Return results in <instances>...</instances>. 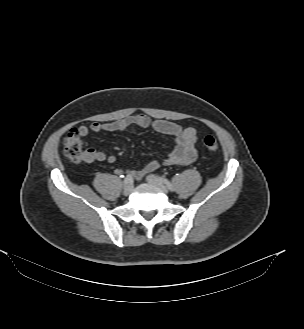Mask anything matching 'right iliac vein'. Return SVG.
<instances>
[{
	"mask_svg": "<svg viewBox=\"0 0 304 329\" xmlns=\"http://www.w3.org/2000/svg\"><path fill=\"white\" fill-rule=\"evenodd\" d=\"M132 189H133L132 184L129 183V184L125 185L124 189H123V194L125 196L129 195L131 193Z\"/></svg>",
	"mask_w": 304,
	"mask_h": 329,
	"instance_id": "1",
	"label": "right iliac vein"
}]
</instances>
